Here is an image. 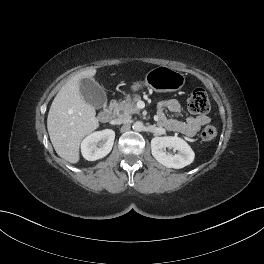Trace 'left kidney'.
Listing matches in <instances>:
<instances>
[{
  "mask_svg": "<svg viewBox=\"0 0 264 264\" xmlns=\"http://www.w3.org/2000/svg\"><path fill=\"white\" fill-rule=\"evenodd\" d=\"M166 148L177 150L178 153L171 154ZM151 152L160 164L174 169L191 164L195 157L187 142L177 136L154 137L151 140Z\"/></svg>",
  "mask_w": 264,
  "mask_h": 264,
  "instance_id": "5707ae66",
  "label": "left kidney"
}]
</instances>
